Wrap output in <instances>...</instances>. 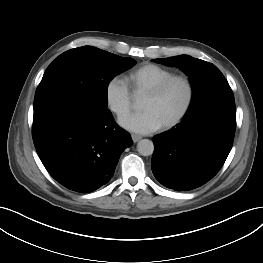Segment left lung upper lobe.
<instances>
[{"label": "left lung upper lobe", "instance_id": "5c2ea615", "mask_svg": "<svg viewBox=\"0 0 263 263\" xmlns=\"http://www.w3.org/2000/svg\"><path fill=\"white\" fill-rule=\"evenodd\" d=\"M153 61L167 66H177L189 76L193 95L185 116L195 114L214 102L234 101L233 92L224 75L209 62L188 55Z\"/></svg>", "mask_w": 263, "mask_h": 263}]
</instances>
